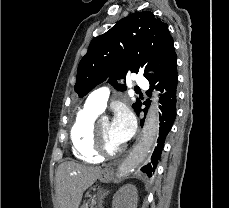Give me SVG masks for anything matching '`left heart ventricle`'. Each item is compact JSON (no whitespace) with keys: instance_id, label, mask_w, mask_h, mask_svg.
<instances>
[{"instance_id":"b2bd125f","label":"left heart ventricle","mask_w":229,"mask_h":208,"mask_svg":"<svg viewBox=\"0 0 229 208\" xmlns=\"http://www.w3.org/2000/svg\"><path fill=\"white\" fill-rule=\"evenodd\" d=\"M98 131L108 141V144H107L108 148H115V147L121 146L122 143L116 140L112 134V126L110 123L108 122L100 123L98 125Z\"/></svg>"}]
</instances>
